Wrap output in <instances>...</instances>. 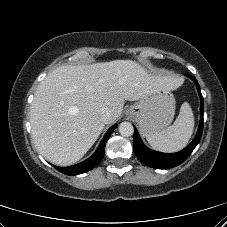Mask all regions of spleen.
I'll list each match as a JSON object with an SVG mask.
<instances>
[{"instance_id":"obj_1","label":"spleen","mask_w":227,"mask_h":227,"mask_svg":"<svg viewBox=\"0 0 227 227\" xmlns=\"http://www.w3.org/2000/svg\"><path fill=\"white\" fill-rule=\"evenodd\" d=\"M194 128V116L188 102L182 104L173 125L146 137L155 150L172 153L184 148L189 142Z\"/></svg>"}]
</instances>
